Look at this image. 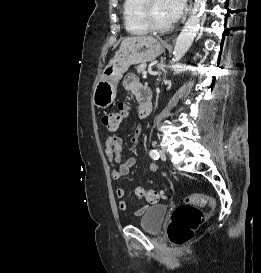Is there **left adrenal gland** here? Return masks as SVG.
Listing matches in <instances>:
<instances>
[{"mask_svg":"<svg viewBox=\"0 0 261 273\" xmlns=\"http://www.w3.org/2000/svg\"><path fill=\"white\" fill-rule=\"evenodd\" d=\"M160 75H161V73L159 72V78L157 79L158 81H160Z\"/></svg>","mask_w":261,"mask_h":273,"instance_id":"left-adrenal-gland-1","label":"left adrenal gland"}]
</instances>
